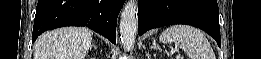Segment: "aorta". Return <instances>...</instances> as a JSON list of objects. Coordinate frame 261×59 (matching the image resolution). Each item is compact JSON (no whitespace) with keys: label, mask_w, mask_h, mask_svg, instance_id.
Returning a JSON list of instances; mask_svg holds the SVG:
<instances>
[{"label":"aorta","mask_w":261,"mask_h":59,"mask_svg":"<svg viewBox=\"0 0 261 59\" xmlns=\"http://www.w3.org/2000/svg\"><path fill=\"white\" fill-rule=\"evenodd\" d=\"M120 39L126 52L132 51L138 27V5L135 0L126 2L120 19Z\"/></svg>","instance_id":"1"}]
</instances>
